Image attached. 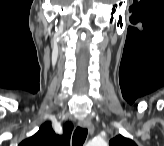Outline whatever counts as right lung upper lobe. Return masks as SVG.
Masks as SVG:
<instances>
[{
    "label": "right lung upper lobe",
    "instance_id": "1",
    "mask_svg": "<svg viewBox=\"0 0 164 146\" xmlns=\"http://www.w3.org/2000/svg\"><path fill=\"white\" fill-rule=\"evenodd\" d=\"M72 126L67 123L64 126V134L56 135L51 127L50 122H45L39 131L22 141L20 146H66L69 144Z\"/></svg>",
    "mask_w": 164,
    "mask_h": 146
}]
</instances>
